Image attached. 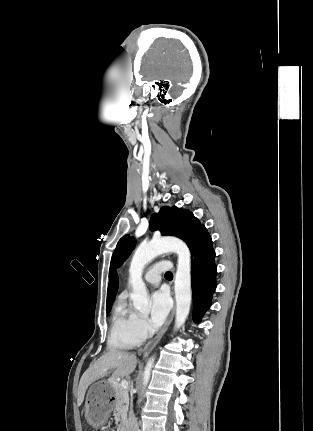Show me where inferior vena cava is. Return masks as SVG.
Here are the masks:
<instances>
[{"label":"inferior vena cava","mask_w":313,"mask_h":431,"mask_svg":"<svg viewBox=\"0 0 313 431\" xmlns=\"http://www.w3.org/2000/svg\"><path fill=\"white\" fill-rule=\"evenodd\" d=\"M128 431H139L138 423L133 414L129 418V430Z\"/></svg>","instance_id":"inferior-vena-cava-1"}]
</instances>
